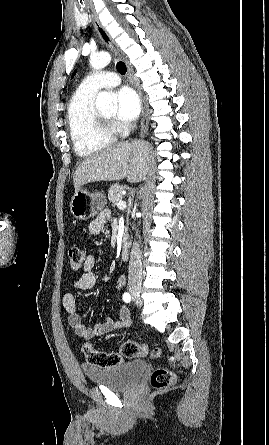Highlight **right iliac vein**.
I'll return each mask as SVG.
<instances>
[{
	"label": "right iliac vein",
	"mask_w": 269,
	"mask_h": 445,
	"mask_svg": "<svg viewBox=\"0 0 269 445\" xmlns=\"http://www.w3.org/2000/svg\"><path fill=\"white\" fill-rule=\"evenodd\" d=\"M131 296L137 301L139 305H141V299H140V289L137 287L130 288Z\"/></svg>",
	"instance_id": "right-iliac-vein-1"
}]
</instances>
